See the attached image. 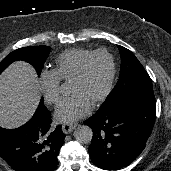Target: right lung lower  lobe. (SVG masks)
Returning <instances> with one entry per match:
<instances>
[{
	"mask_svg": "<svg viewBox=\"0 0 171 171\" xmlns=\"http://www.w3.org/2000/svg\"><path fill=\"white\" fill-rule=\"evenodd\" d=\"M64 138L60 125L51 127L50 113L40 103L25 125L0 127V155L15 171H53Z\"/></svg>",
	"mask_w": 171,
	"mask_h": 171,
	"instance_id": "1",
	"label": "right lung lower lobe"
}]
</instances>
